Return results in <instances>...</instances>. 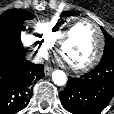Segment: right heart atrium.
Returning <instances> with one entry per match:
<instances>
[{
    "label": "right heart atrium",
    "mask_w": 114,
    "mask_h": 114,
    "mask_svg": "<svg viewBox=\"0 0 114 114\" xmlns=\"http://www.w3.org/2000/svg\"><path fill=\"white\" fill-rule=\"evenodd\" d=\"M21 40L23 44L34 51L38 57H43L47 54V48L36 39L33 33L23 31L21 33Z\"/></svg>",
    "instance_id": "right-heart-atrium-1"
}]
</instances>
